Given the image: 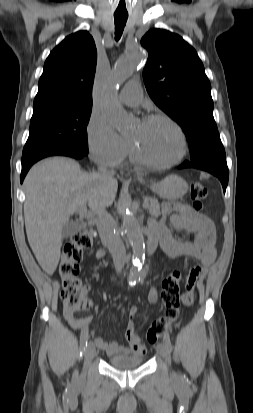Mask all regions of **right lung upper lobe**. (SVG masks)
Instances as JSON below:
<instances>
[{"mask_svg":"<svg viewBox=\"0 0 253 413\" xmlns=\"http://www.w3.org/2000/svg\"><path fill=\"white\" fill-rule=\"evenodd\" d=\"M96 62L95 42L87 31L66 37L45 61L33 112L92 107Z\"/></svg>","mask_w":253,"mask_h":413,"instance_id":"right-lung-upper-lobe-1","label":"right lung upper lobe"}]
</instances>
